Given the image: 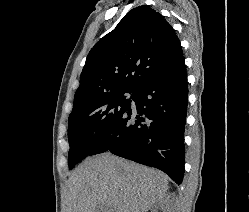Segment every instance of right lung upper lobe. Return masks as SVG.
Segmentation results:
<instances>
[{
    "label": "right lung upper lobe",
    "mask_w": 249,
    "mask_h": 212,
    "mask_svg": "<svg viewBox=\"0 0 249 212\" xmlns=\"http://www.w3.org/2000/svg\"><path fill=\"white\" fill-rule=\"evenodd\" d=\"M182 57L179 39L163 16L136 7L89 52L73 108L103 95L134 92Z\"/></svg>",
    "instance_id": "cb5924a9"
}]
</instances>
